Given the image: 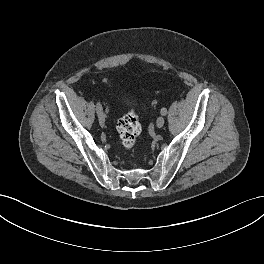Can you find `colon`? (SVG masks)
Wrapping results in <instances>:
<instances>
[{
  "label": "colon",
  "instance_id": "obj_1",
  "mask_svg": "<svg viewBox=\"0 0 264 264\" xmlns=\"http://www.w3.org/2000/svg\"><path fill=\"white\" fill-rule=\"evenodd\" d=\"M119 141L126 149H131L138 141L141 124L134 110L128 111L117 123Z\"/></svg>",
  "mask_w": 264,
  "mask_h": 264
}]
</instances>
